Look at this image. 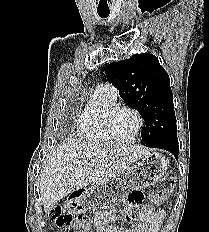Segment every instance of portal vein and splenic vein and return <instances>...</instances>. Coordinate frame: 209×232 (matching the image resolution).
Masks as SVG:
<instances>
[{"instance_id": "obj_1", "label": "portal vein and splenic vein", "mask_w": 209, "mask_h": 232, "mask_svg": "<svg viewBox=\"0 0 209 232\" xmlns=\"http://www.w3.org/2000/svg\"><path fill=\"white\" fill-rule=\"evenodd\" d=\"M93 164H97V162H96V161H93Z\"/></svg>"}]
</instances>
